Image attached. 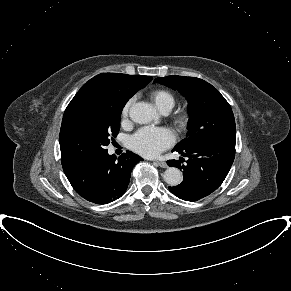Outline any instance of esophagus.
Wrapping results in <instances>:
<instances>
[{
    "mask_svg": "<svg viewBox=\"0 0 291 291\" xmlns=\"http://www.w3.org/2000/svg\"><path fill=\"white\" fill-rule=\"evenodd\" d=\"M154 164H156L157 166H160L162 168H167V163L164 161H154Z\"/></svg>",
    "mask_w": 291,
    "mask_h": 291,
    "instance_id": "obj_1",
    "label": "esophagus"
}]
</instances>
